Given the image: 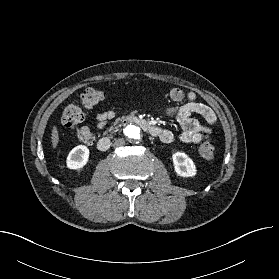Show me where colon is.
<instances>
[{
    "label": "colon",
    "mask_w": 279,
    "mask_h": 279,
    "mask_svg": "<svg viewBox=\"0 0 279 279\" xmlns=\"http://www.w3.org/2000/svg\"><path fill=\"white\" fill-rule=\"evenodd\" d=\"M105 95L97 88H87L80 95V101L68 103L62 113V123L64 126L75 130L77 139L84 144H91L94 140L93 134L82 126L84 120V110L99 104ZM199 155L204 160H211L215 155V148L208 135L204 136L203 142L199 147Z\"/></svg>",
    "instance_id": "obj_1"
}]
</instances>
